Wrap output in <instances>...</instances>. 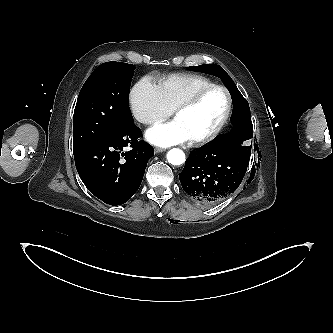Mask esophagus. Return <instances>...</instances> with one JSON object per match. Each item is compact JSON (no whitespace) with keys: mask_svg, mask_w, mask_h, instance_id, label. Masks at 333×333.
I'll return each mask as SVG.
<instances>
[{"mask_svg":"<svg viewBox=\"0 0 333 333\" xmlns=\"http://www.w3.org/2000/svg\"><path fill=\"white\" fill-rule=\"evenodd\" d=\"M154 151H155V153H161V152L165 151V149H163V148H159V147H156V148L154 149Z\"/></svg>","mask_w":333,"mask_h":333,"instance_id":"esophagus-1","label":"esophagus"}]
</instances>
